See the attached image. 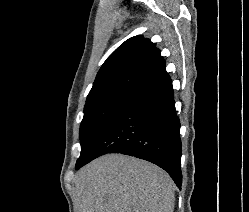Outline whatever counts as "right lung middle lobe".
Segmentation results:
<instances>
[{
    "mask_svg": "<svg viewBox=\"0 0 249 212\" xmlns=\"http://www.w3.org/2000/svg\"><path fill=\"white\" fill-rule=\"evenodd\" d=\"M138 96L133 92H111L86 100L79 131L81 154L76 162V169L85 161L115 117Z\"/></svg>",
    "mask_w": 249,
    "mask_h": 212,
    "instance_id": "dd1d6c3e",
    "label": "right lung middle lobe"
}]
</instances>
